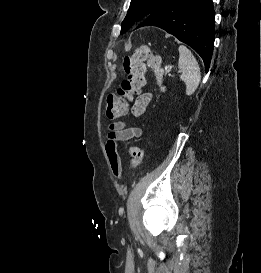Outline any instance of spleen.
<instances>
[{
  "label": "spleen",
  "instance_id": "spleen-1",
  "mask_svg": "<svg viewBox=\"0 0 261 273\" xmlns=\"http://www.w3.org/2000/svg\"><path fill=\"white\" fill-rule=\"evenodd\" d=\"M178 68L181 72L180 79L186 85V95H192L199 86L201 72L194 55L184 45L179 46Z\"/></svg>",
  "mask_w": 261,
  "mask_h": 273
}]
</instances>
